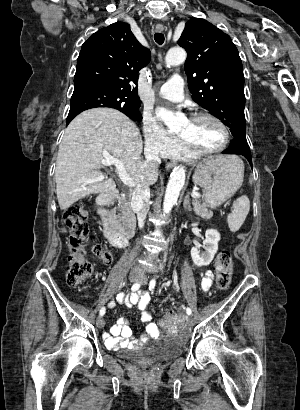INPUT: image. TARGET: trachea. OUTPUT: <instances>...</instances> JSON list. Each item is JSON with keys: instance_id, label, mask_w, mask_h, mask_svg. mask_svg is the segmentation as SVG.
Wrapping results in <instances>:
<instances>
[{"instance_id": "1", "label": "trachea", "mask_w": 300, "mask_h": 410, "mask_svg": "<svg viewBox=\"0 0 300 410\" xmlns=\"http://www.w3.org/2000/svg\"><path fill=\"white\" fill-rule=\"evenodd\" d=\"M154 39L159 45H162L164 43V35L162 33H156L154 35Z\"/></svg>"}]
</instances>
